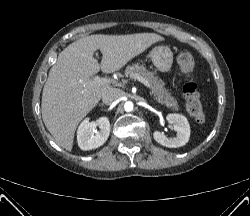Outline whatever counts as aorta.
<instances>
[{"label":"aorta","instance_id":"aorta-1","mask_svg":"<svg viewBox=\"0 0 250 216\" xmlns=\"http://www.w3.org/2000/svg\"><path fill=\"white\" fill-rule=\"evenodd\" d=\"M133 103L131 102V101H127V102H125V104H124V109H125V111H127V112H130V111H132L133 110Z\"/></svg>","mask_w":250,"mask_h":216}]
</instances>
